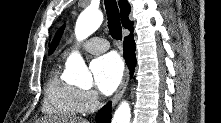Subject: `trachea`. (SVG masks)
<instances>
[{
	"mask_svg": "<svg viewBox=\"0 0 221 123\" xmlns=\"http://www.w3.org/2000/svg\"><path fill=\"white\" fill-rule=\"evenodd\" d=\"M105 8L108 17L109 33L113 39L121 40L122 27L116 0H105Z\"/></svg>",
	"mask_w": 221,
	"mask_h": 123,
	"instance_id": "obj_1",
	"label": "trachea"
}]
</instances>
